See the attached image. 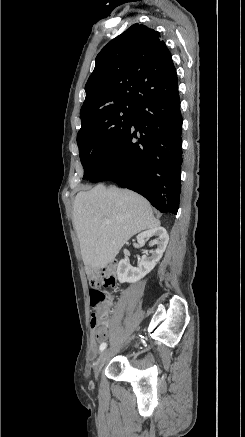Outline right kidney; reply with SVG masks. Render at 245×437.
Returning a JSON list of instances; mask_svg holds the SVG:
<instances>
[{
  "label": "right kidney",
  "mask_w": 245,
  "mask_h": 437,
  "mask_svg": "<svg viewBox=\"0 0 245 437\" xmlns=\"http://www.w3.org/2000/svg\"><path fill=\"white\" fill-rule=\"evenodd\" d=\"M152 236L157 237L152 242V244H157V248L155 250L144 251L138 267H132L128 261L123 259L119 261L117 277L120 283H135L139 281L153 270L159 262L167 247L169 236L166 229L159 226L138 234L136 239L139 244H143L147 238ZM149 254L151 255L149 256Z\"/></svg>",
  "instance_id": "right-kidney-1"
}]
</instances>
